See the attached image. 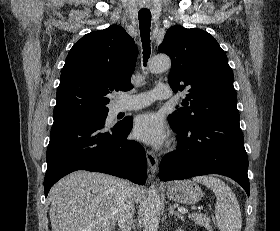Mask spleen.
I'll return each mask as SVG.
<instances>
[{
    "instance_id": "3e777b00",
    "label": "spleen",
    "mask_w": 280,
    "mask_h": 231,
    "mask_svg": "<svg viewBox=\"0 0 280 231\" xmlns=\"http://www.w3.org/2000/svg\"><path fill=\"white\" fill-rule=\"evenodd\" d=\"M194 181H199L213 189L216 195L215 217L220 231H241L242 217L240 205L231 187L213 175H197Z\"/></svg>"
}]
</instances>
